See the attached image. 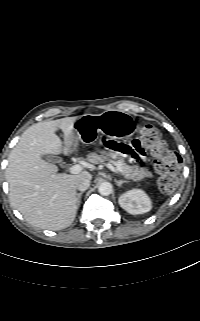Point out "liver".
Returning <instances> with one entry per match:
<instances>
[{
    "label": "liver",
    "mask_w": 200,
    "mask_h": 321,
    "mask_svg": "<svg viewBox=\"0 0 200 321\" xmlns=\"http://www.w3.org/2000/svg\"><path fill=\"white\" fill-rule=\"evenodd\" d=\"M77 117L43 121L30 126L12 149L6 168L9 199L33 226L60 230L70 226L77 214L75 183L80 177L92 178L88 171L75 175L57 173L58 167L43 155L75 151L73 125ZM64 133V146L56 135Z\"/></svg>",
    "instance_id": "liver-1"
}]
</instances>
